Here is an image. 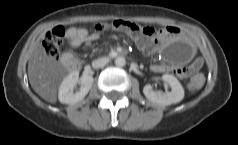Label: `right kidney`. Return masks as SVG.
Here are the masks:
<instances>
[{
	"label": "right kidney",
	"mask_w": 238,
	"mask_h": 145,
	"mask_svg": "<svg viewBox=\"0 0 238 145\" xmlns=\"http://www.w3.org/2000/svg\"><path fill=\"white\" fill-rule=\"evenodd\" d=\"M93 81L94 79L90 75H82L79 78V72L72 71L64 78L59 87V101L69 105L82 101L91 89ZM77 84H80L81 87L79 91L74 93L73 89Z\"/></svg>",
	"instance_id": "ca27d5eb"
}]
</instances>
